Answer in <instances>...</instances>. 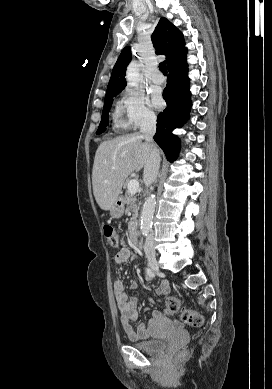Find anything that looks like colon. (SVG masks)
<instances>
[{
  "mask_svg": "<svg viewBox=\"0 0 272 389\" xmlns=\"http://www.w3.org/2000/svg\"><path fill=\"white\" fill-rule=\"evenodd\" d=\"M104 236L110 246L117 247L119 245V236L112 226L106 225L104 227ZM166 311L169 314H179L182 322L192 327H199L203 323V318L200 313L186 308L182 301L175 296H170L166 299ZM186 355L187 352L185 350L181 351L177 355V359L183 360Z\"/></svg>",
  "mask_w": 272,
  "mask_h": 389,
  "instance_id": "1",
  "label": "colon"
}]
</instances>
